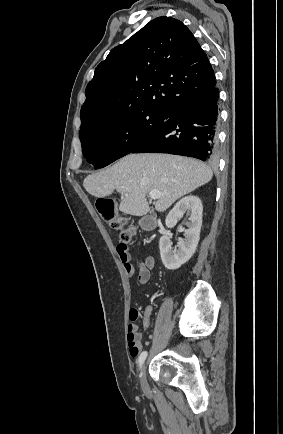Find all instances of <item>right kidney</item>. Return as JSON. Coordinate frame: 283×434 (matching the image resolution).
<instances>
[{
	"label": "right kidney",
	"mask_w": 283,
	"mask_h": 434,
	"mask_svg": "<svg viewBox=\"0 0 283 434\" xmlns=\"http://www.w3.org/2000/svg\"><path fill=\"white\" fill-rule=\"evenodd\" d=\"M185 212L189 214L188 229L184 231L185 238L179 239L175 248L172 247L171 233L163 235L159 241L161 260L168 270H176L185 264L194 254L199 242L203 206L197 196L190 195L177 202L166 217L165 224L168 228H173Z\"/></svg>",
	"instance_id": "ca27d5eb"
}]
</instances>
